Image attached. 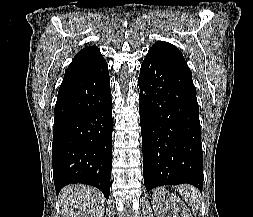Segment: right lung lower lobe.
<instances>
[{"instance_id": "obj_1", "label": "right lung lower lobe", "mask_w": 253, "mask_h": 217, "mask_svg": "<svg viewBox=\"0 0 253 217\" xmlns=\"http://www.w3.org/2000/svg\"><path fill=\"white\" fill-rule=\"evenodd\" d=\"M112 102L107 63L64 77L55 105L53 178L65 185L85 183L108 199L112 168Z\"/></svg>"}]
</instances>
